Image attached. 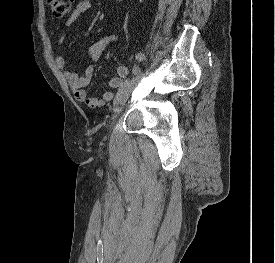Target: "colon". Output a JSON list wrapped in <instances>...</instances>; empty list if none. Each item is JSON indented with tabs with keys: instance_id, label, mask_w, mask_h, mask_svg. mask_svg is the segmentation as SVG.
<instances>
[{
	"instance_id": "1",
	"label": "colon",
	"mask_w": 275,
	"mask_h": 263,
	"mask_svg": "<svg viewBox=\"0 0 275 263\" xmlns=\"http://www.w3.org/2000/svg\"><path fill=\"white\" fill-rule=\"evenodd\" d=\"M74 0H47L54 17H62L70 12Z\"/></svg>"
}]
</instances>
